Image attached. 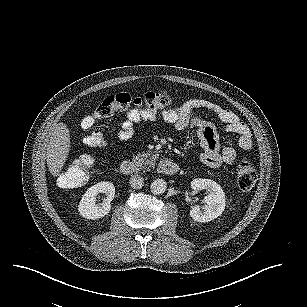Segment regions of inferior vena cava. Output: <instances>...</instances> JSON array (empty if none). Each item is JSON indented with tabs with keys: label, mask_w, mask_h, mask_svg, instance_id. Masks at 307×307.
<instances>
[{
	"label": "inferior vena cava",
	"mask_w": 307,
	"mask_h": 307,
	"mask_svg": "<svg viewBox=\"0 0 307 307\" xmlns=\"http://www.w3.org/2000/svg\"><path fill=\"white\" fill-rule=\"evenodd\" d=\"M129 183H130V185L133 189H142V187L144 185V180H143L142 176H140V175H133L130 178Z\"/></svg>",
	"instance_id": "602c4592"
}]
</instances>
